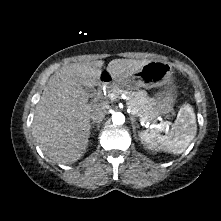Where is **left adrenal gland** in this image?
Instances as JSON below:
<instances>
[{
  "mask_svg": "<svg viewBox=\"0 0 221 221\" xmlns=\"http://www.w3.org/2000/svg\"><path fill=\"white\" fill-rule=\"evenodd\" d=\"M130 120L132 123L133 132H135L136 128H139V125L137 124L136 119L133 116L130 117Z\"/></svg>",
  "mask_w": 221,
  "mask_h": 221,
  "instance_id": "1",
  "label": "left adrenal gland"
}]
</instances>
